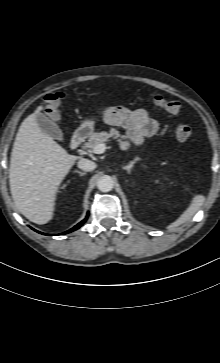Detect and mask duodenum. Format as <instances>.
<instances>
[{
	"mask_svg": "<svg viewBox=\"0 0 220 363\" xmlns=\"http://www.w3.org/2000/svg\"><path fill=\"white\" fill-rule=\"evenodd\" d=\"M89 133H90L89 127L85 126L77 129L70 141V147L72 149L78 148L88 137Z\"/></svg>",
	"mask_w": 220,
	"mask_h": 363,
	"instance_id": "obj_1",
	"label": "duodenum"
}]
</instances>
